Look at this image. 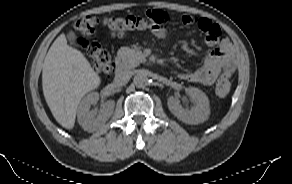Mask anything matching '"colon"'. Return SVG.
Here are the masks:
<instances>
[{
	"instance_id": "5ec220e1",
	"label": "colon",
	"mask_w": 292,
	"mask_h": 184,
	"mask_svg": "<svg viewBox=\"0 0 292 184\" xmlns=\"http://www.w3.org/2000/svg\"><path fill=\"white\" fill-rule=\"evenodd\" d=\"M168 16L166 13L153 10L149 11L145 17L127 15L122 17L99 19L95 15H86L77 18L73 27L78 36V43L87 51L95 69L104 74L112 73V61L110 52L98 43H91L88 36L96 32L98 25L105 26L112 35L121 36L135 30H151L153 32L162 28ZM229 73H222L217 80L215 91L219 97H225L230 91Z\"/></svg>"
}]
</instances>
